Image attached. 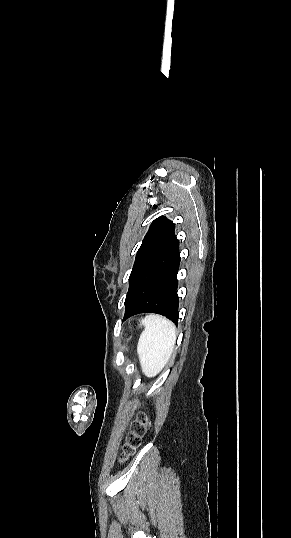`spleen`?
<instances>
[{
    "mask_svg": "<svg viewBox=\"0 0 291 538\" xmlns=\"http://www.w3.org/2000/svg\"><path fill=\"white\" fill-rule=\"evenodd\" d=\"M145 329L140 335L137 353L145 376H156L167 364L176 343V327L158 315L142 320Z\"/></svg>",
    "mask_w": 291,
    "mask_h": 538,
    "instance_id": "3e777b00",
    "label": "spleen"
}]
</instances>
